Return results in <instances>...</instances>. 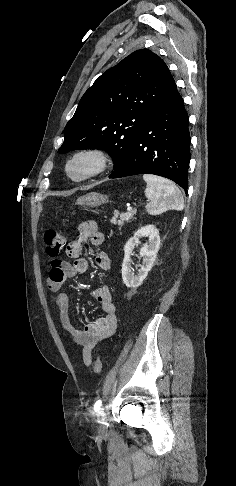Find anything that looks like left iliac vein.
<instances>
[{
    "instance_id": "1",
    "label": "left iliac vein",
    "mask_w": 236,
    "mask_h": 486,
    "mask_svg": "<svg viewBox=\"0 0 236 486\" xmlns=\"http://www.w3.org/2000/svg\"><path fill=\"white\" fill-rule=\"evenodd\" d=\"M97 417H98V422H99V433L100 434H105L106 433V430H107V427H106V416H105V413H104V410L101 409L98 414H97Z\"/></svg>"
}]
</instances>
